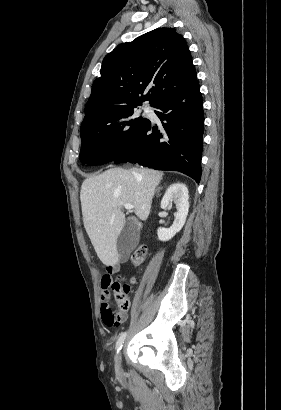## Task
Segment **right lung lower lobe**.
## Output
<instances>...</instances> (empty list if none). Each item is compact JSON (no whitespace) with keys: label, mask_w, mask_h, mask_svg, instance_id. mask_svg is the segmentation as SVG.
<instances>
[{"label":"right lung lower lobe","mask_w":281,"mask_h":410,"mask_svg":"<svg viewBox=\"0 0 281 410\" xmlns=\"http://www.w3.org/2000/svg\"><path fill=\"white\" fill-rule=\"evenodd\" d=\"M199 83L166 95L152 107L162 122L149 121L131 144L114 160L131 162L157 170L180 171L197 183L201 176L204 112Z\"/></svg>","instance_id":"right-lung-lower-lobe-1"}]
</instances>
